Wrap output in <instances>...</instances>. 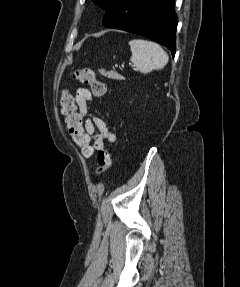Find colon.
Returning a JSON list of instances; mask_svg holds the SVG:
<instances>
[{
  "instance_id": "5ec220e1",
  "label": "colon",
  "mask_w": 240,
  "mask_h": 287,
  "mask_svg": "<svg viewBox=\"0 0 240 287\" xmlns=\"http://www.w3.org/2000/svg\"><path fill=\"white\" fill-rule=\"evenodd\" d=\"M72 77L82 84L88 85L92 93L97 96H103L106 93V85L95 78L93 71L89 68H79L72 73ZM61 111L66 117L69 133L73 141L80 147L86 157H91L95 151L90 142V136L85 131L82 124V117L77 112L73 96L63 90L60 97ZM111 152L108 148L97 151V169L98 176L104 175L111 166Z\"/></svg>"
}]
</instances>
